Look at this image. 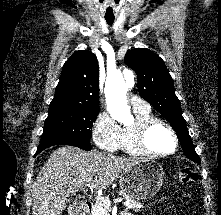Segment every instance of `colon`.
<instances>
[{
	"instance_id": "colon-1",
	"label": "colon",
	"mask_w": 221,
	"mask_h": 215,
	"mask_svg": "<svg viewBox=\"0 0 221 215\" xmlns=\"http://www.w3.org/2000/svg\"><path fill=\"white\" fill-rule=\"evenodd\" d=\"M180 179L184 183L196 185L199 180V175L193 168L185 167L180 172Z\"/></svg>"
}]
</instances>
